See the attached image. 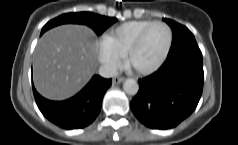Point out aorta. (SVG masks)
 <instances>
[{"label":"aorta","mask_w":238,"mask_h":145,"mask_svg":"<svg viewBox=\"0 0 238 145\" xmlns=\"http://www.w3.org/2000/svg\"><path fill=\"white\" fill-rule=\"evenodd\" d=\"M123 89L128 95H136L139 90V85L134 79H126L123 84Z\"/></svg>","instance_id":"762f6f07"}]
</instances>
